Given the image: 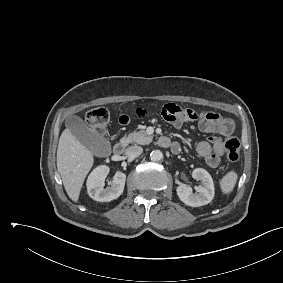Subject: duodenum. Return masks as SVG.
I'll list each match as a JSON object with an SVG mask.
<instances>
[{"instance_id":"410a0bca","label":"duodenum","mask_w":283,"mask_h":283,"mask_svg":"<svg viewBox=\"0 0 283 283\" xmlns=\"http://www.w3.org/2000/svg\"><path fill=\"white\" fill-rule=\"evenodd\" d=\"M159 144L163 147H171V149L174 147V144L170 141L168 137L160 138ZM126 147L127 144L125 141L117 142L113 147L114 156L116 157L122 156L126 150Z\"/></svg>"}]
</instances>
